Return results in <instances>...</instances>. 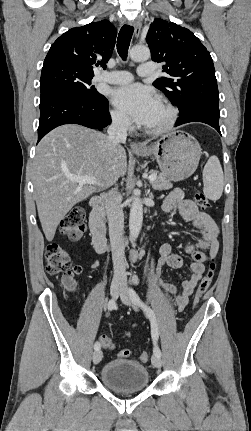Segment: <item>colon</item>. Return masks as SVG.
Listing matches in <instances>:
<instances>
[{
  "instance_id": "colon-1",
  "label": "colon",
  "mask_w": 251,
  "mask_h": 431,
  "mask_svg": "<svg viewBox=\"0 0 251 431\" xmlns=\"http://www.w3.org/2000/svg\"><path fill=\"white\" fill-rule=\"evenodd\" d=\"M194 199L198 206L202 210H209L211 207V204L207 197L200 191H197L194 193ZM84 218H85V211L82 207H73L68 214L65 216V218L60 223V233L64 236H66L71 241H76L83 235L85 231L84 226ZM46 269L47 272L51 275L56 274H62L63 275V282L65 286L69 288H73L75 286V280L74 277L76 275H79L82 272V268L79 265H72L71 258L68 254V252L64 249H62L57 244H50L48 245L46 252ZM214 270H215V263L214 260L211 261L209 265V269L200 281L195 299L194 304H197L200 299L206 294V292L211 287L213 276H214ZM101 344L103 348L112 350L114 348L113 341L105 336H102L100 338ZM130 349H123L118 353V356L121 358H126L131 355ZM139 358L142 362H148L150 359V355L146 351H142L139 355Z\"/></svg>"
}]
</instances>
